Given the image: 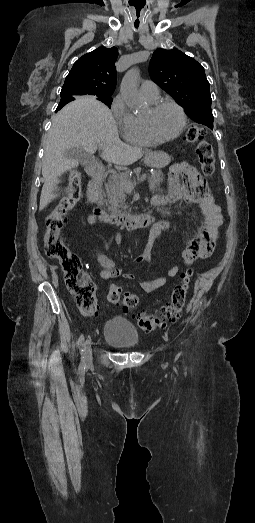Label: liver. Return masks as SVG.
Listing matches in <instances>:
<instances>
[{"instance_id":"liver-1","label":"liver","mask_w":255,"mask_h":523,"mask_svg":"<svg viewBox=\"0 0 255 523\" xmlns=\"http://www.w3.org/2000/svg\"><path fill=\"white\" fill-rule=\"evenodd\" d=\"M97 146H101L103 150L101 158L115 164L117 170H125V166L134 164L143 156L140 148H132L121 142L116 122L107 106L92 96H81L52 118L42 166L45 184L40 196V212L57 198L54 192L61 182L59 178L62 174L78 166L77 160L65 158L66 150L83 148L85 152L94 154ZM154 154H158L162 160L166 156L163 152Z\"/></svg>"}]
</instances>
